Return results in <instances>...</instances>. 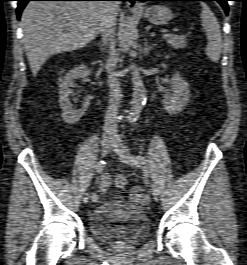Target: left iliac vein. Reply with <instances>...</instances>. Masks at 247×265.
I'll use <instances>...</instances> for the list:
<instances>
[{"label":"left iliac vein","instance_id":"1","mask_svg":"<svg viewBox=\"0 0 247 265\" xmlns=\"http://www.w3.org/2000/svg\"><path fill=\"white\" fill-rule=\"evenodd\" d=\"M113 150L117 153V155L126 163L128 164H132L130 161H129V150L128 148L123 144L121 143L120 140H115L114 141V145H113ZM152 195L154 197V199L156 201H158V198H159V192L157 190V188L153 185L152 186Z\"/></svg>","mask_w":247,"mask_h":265}]
</instances>
